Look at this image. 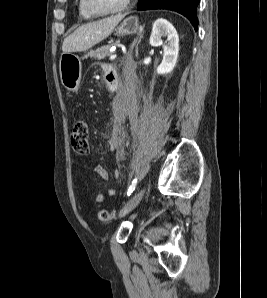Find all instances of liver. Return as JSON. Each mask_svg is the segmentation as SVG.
<instances>
[{
  "mask_svg": "<svg viewBox=\"0 0 267 298\" xmlns=\"http://www.w3.org/2000/svg\"><path fill=\"white\" fill-rule=\"evenodd\" d=\"M125 15L110 16L78 27L63 41V53L82 52L108 37Z\"/></svg>",
  "mask_w": 267,
  "mask_h": 298,
  "instance_id": "6515ba94",
  "label": "liver"
}]
</instances>
